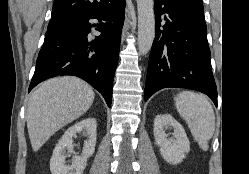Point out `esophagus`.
<instances>
[{
    "mask_svg": "<svg viewBox=\"0 0 249 174\" xmlns=\"http://www.w3.org/2000/svg\"><path fill=\"white\" fill-rule=\"evenodd\" d=\"M130 18H131L130 11L127 9L125 13V23L122 32L123 37L128 33Z\"/></svg>",
    "mask_w": 249,
    "mask_h": 174,
    "instance_id": "1",
    "label": "esophagus"
}]
</instances>
